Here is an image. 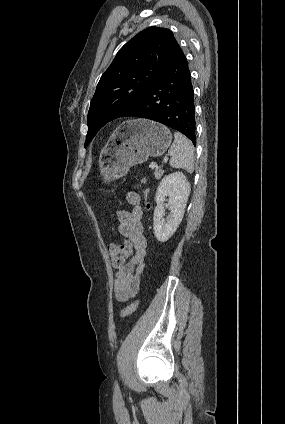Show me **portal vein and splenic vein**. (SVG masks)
<instances>
[{"mask_svg":"<svg viewBox=\"0 0 285 424\" xmlns=\"http://www.w3.org/2000/svg\"><path fill=\"white\" fill-rule=\"evenodd\" d=\"M149 167H151V168H157V164L156 163H151L150 165H149Z\"/></svg>","mask_w":285,"mask_h":424,"instance_id":"portal-vein-and-splenic-vein-1","label":"portal vein and splenic vein"}]
</instances>
